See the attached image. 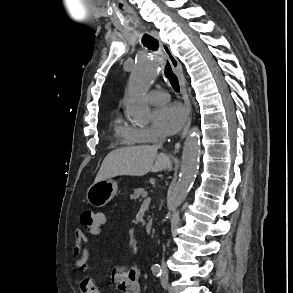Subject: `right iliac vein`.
Segmentation results:
<instances>
[{
	"mask_svg": "<svg viewBox=\"0 0 293 293\" xmlns=\"http://www.w3.org/2000/svg\"><path fill=\"white\" fill-rule=\"evenodd\" d=\"M166 280H167V278H166ZM169 293H173L170 287H169Z\"/></svg>",
	"mask_w": 293,
	"mask_h": 293,
	"instance_id": "63e3f726",
	"label": "right iliac vein"
}]
</instances>
